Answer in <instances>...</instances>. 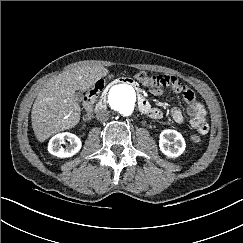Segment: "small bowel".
I'll use <instances>...</instances> for the list:
<instances>
[{"label": "small bowel", "mask_w": 243, "mask_h": 243, "mask_svg": "<svg viewBox=\"0 0 243 243\" xmlns=\"http://www.w3.org/2000/svg\"><path fill=\"white\" fill-rule=\"evenodd\" d=\"M167 83L164 86L153 88V93L160 95L166 90L181 94L187 104V114L190 116L189 125L198 131V133L205 135L209 132V125L206 119V109L201 101L198 100L195 93L188 87L186 83L179 80L173 75H165ZM173 120L182 124L185 121L184 115L177 106L171 109ZM151 118L158 119L162 116V112L157 108H152L149 114Z\"/></svg>", "instance_id": "small-bowel-1"}]
</instances>
